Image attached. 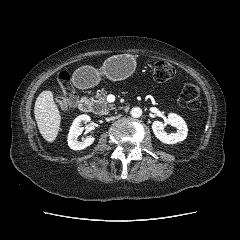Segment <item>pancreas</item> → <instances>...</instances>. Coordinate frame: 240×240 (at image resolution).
<instances>
[{
    "mask_svg": "<svg viewBox=\"0 0 240 240\" xmlns=\"http://www.w3.org/2000/svg\"><path fill=\"white\" fill-rule=\"evenodd\" d=\"M107 91L104 89L98 90L96 93V100H93L94 111L99 115L108 113L110 110L114 109V104H109L106 101Z\"/></svg>",
    "mask_w": 240,
    "mask_h": 240,
    "instance_id": "obj_1",
    "label": "pancreas"
}]
</instances>
